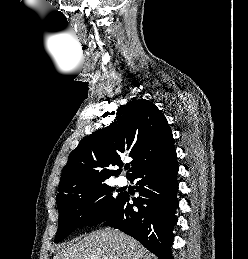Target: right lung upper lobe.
<instances>
[{"mask_svg": "<svg viewBox=\"0 0 248 259\" xmlns=\"http://www.w3.org/2000/svg\"><path fill=\"white\" fill-rule=\"evenodd\" d=\"M173 137L163 113L150 101L133 100L117 109L116 119L83 138L65 165L57 198L72 189L106 182L122 166L121 158L129 156L130 178L141 168L175 153Z\"/></svg>", "mask_w": 248, "mask_h": 259, "instance_id": "cb5924a9", "label": "right lung upper lobe"}]
</instances>
